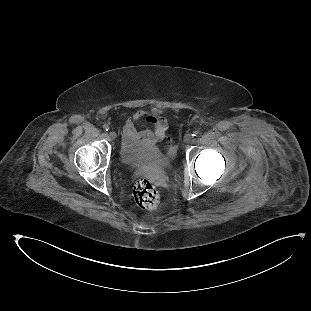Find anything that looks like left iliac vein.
I'll return each mask as SVG.
<instances>
[{
    "instance_id": "left-iliac-vein-1",
    "label": "left iliac vein",
    "mask_w": 311,
    "mask_h": 311,
    "mask_svg": "<svg viewBox=\"0 0 311 311\" xmlns=\"http://www.w3.org/2000/svg\"><path fill=\"white\" fill-rule=\"evenodd\" d=\"M191 140H192V135L190 133L185 134L184 142L185 143H190Z\"/></svg>"
}]
</instances>
